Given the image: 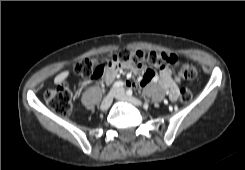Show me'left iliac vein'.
I'll list each match as a JSON object with an SVG mask.
<instances>
[{
	"mask_svg": "<svg viewBox=\"0 0 245 170\" xmlns=\"http://www.w3.org/2000/svg\"><path fill=\"white\" fill-rule=\"evenodd\" d=\"M114 97L119 101H125L134 106H140L142 104L139 99L135 97L127 96L124 92V89L122 88L116 89V91L114 92Z\"/></svg>",
	"mask_w": 245,
	"mask_h": 170,
	"instance_id": "obj_1",
	"label": "left iliac vein"
}]
</instances>
